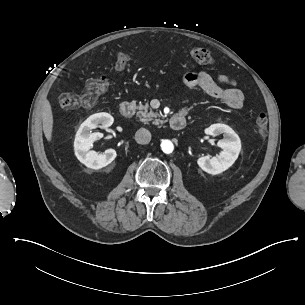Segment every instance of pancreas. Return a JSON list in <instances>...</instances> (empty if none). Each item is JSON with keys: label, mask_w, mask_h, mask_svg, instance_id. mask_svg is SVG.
<instances>
[{"label": "pancreas", "mask_w": 305, "mask_h": 305, "mask_svg": "<svg viewBox=\"0 0 305 305\" xmlns=\"http://www.w3.org/2000/svg\"><path fill=\"white\" fill-rule=\"evenodd\" d=\"M149 104L146 103L145 105L139 103V105L136 107L138 109V112L136 113L137 117L140 118V121L144 123H148L149 121H153L152 123L155 125H158L162 123L160 119H155L157 117H160L159 113L153 112L152 110L148 111Z\"/></svg>", "instance_id": "pancreas-1"}]
</instances>
